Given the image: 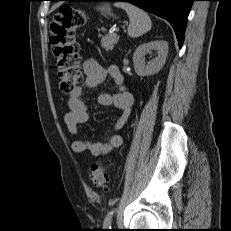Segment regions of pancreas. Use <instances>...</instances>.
<instances>
[{"instance_id": "1", "label": "pancreas", "mask_w": 231, "mask_h": 231, "mask_svg": "<svg viewBox=\"0 0 231 231\" xmlns=\"http://www.w3.org/2000/svg\"><path fill=\"white\" fill-rule=\"evenodd\" d=\"M118 39L119 36L116 33L107 34L101 39V47L106 51L112 50Z\"/></svg>"}]
</instances>
